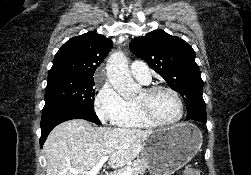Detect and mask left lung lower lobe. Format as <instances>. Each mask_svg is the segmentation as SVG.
Returning a JSON list of instances; mask_svg holds the SVG:
<instances>
[{"label": "left lung lower lobe", "instance_id": "left-lung-lower-lobe-1", "mask_svg": "<svg viewBox=\"0 0 251 175\" xmlns=\"http://www.w3.org/2000/svg\"><path fill=\"white\" fill-rule=\"evenodd\" d=\"M186 120H193L206 123L207 114H206L205 104H199V103L187 104Z\"/></svg>", "mask_w": 251, "mask_h": 175}]
</instances>
